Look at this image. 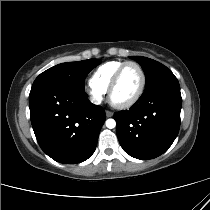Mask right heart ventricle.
<instances>
[{"mask_svg":"<svg viewBox=\"0 0 210 210\" xmlns=\"http://www.w3.org/2000/svg\"><path fill=\"white\" fill-rule=\"evenodd\" d=\"M124 62L121 60H112L103 63L92 73L90 83L102 92H107L114 73Z\"/></svg>","mask_w":210,"mask_h":210,"instance_id":"obj_1","label":"right heart ventricle"}]
</instances>
